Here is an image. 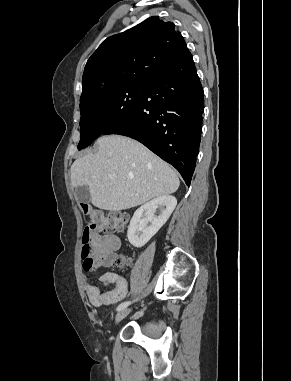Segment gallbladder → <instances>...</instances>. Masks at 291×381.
<instances>
[{"mask_svg":"<svg viewBox=\"0 0 291 381\" xmlns=\"http://www.w3.org/2000/svg\"><path fill=\"white\" fill-rule=\"evenodd\" d=\"M75 198L78 203L88 204L91 200L90 191L88 186H78L74 190Z\"/></svg>","mask_w":291,"mask_h":381,"instance_id":"1","label":"gallbladder"}]
</instances>
